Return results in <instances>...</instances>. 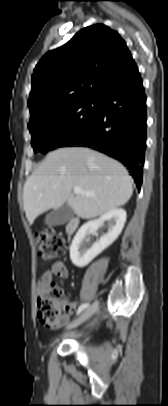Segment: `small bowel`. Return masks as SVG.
Segmentation results:
<instances>
[{
    "mask_svg": "<svg viewBox=\"0 0 168 406\" xmlns=\"http://www.w3.org/2000/svg\"><path fill=\"white\" fill-rule=\"evenodd\" d=\"M56 275L60 278H67L68 271L65 265L62 262H56L53 264L50 270L46 271L38 281L37 284V293L42 295L50 287L53 276ZM58 306L62 307L63 315L60 316V319L57 324L52 326H47L49 330H55L61 327L64 323L67 322L68 317L72 314L73 310L76 307V303L70 301L68 298H64L58 301Z\"/></svg>",
    "mask_w": 168,
    "mask_h": 406,
    "instance_id": "small-bowel-1",
    "label": "small bowel"
}]
</instances>
